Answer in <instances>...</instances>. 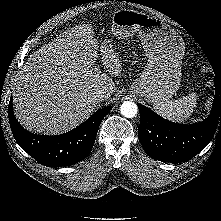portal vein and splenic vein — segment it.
<instances>
[{"instance_id":"obj_1","label":"portal vein and splenic vein","mask_w":221,"mask_h":221,"mask_svg":"<svg viewBox=\"0 0 221 221\" xmlns=\"http://www.w3.org/2000/svg\"><path fill=\"white\" fill-rule=\"evenodd\" d=\"M99 71H100V67L98 66L95 68V72H99Z\"/></svg>"}]
</instances>
